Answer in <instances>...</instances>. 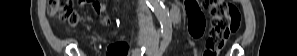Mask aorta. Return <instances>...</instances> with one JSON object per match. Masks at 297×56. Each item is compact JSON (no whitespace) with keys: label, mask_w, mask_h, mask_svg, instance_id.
I'll list each match as a JSON object with an SVG mask.
<instances>
[{"label":"aorta","mask_w":297,"mask_h":56,"mask_svg":"<svg viewBox=\"0 0 297 56\" xmlns=\"http://www.w3.org/2000/svg\"><path fill=\"white\" fill-rule=\"evenodd\" d=\"M152 11L155 13L163 34L169 35L172 32L169 11L164 6L162 0H149Z\"/></svg>","instance_id":"1"}]
</instances>
